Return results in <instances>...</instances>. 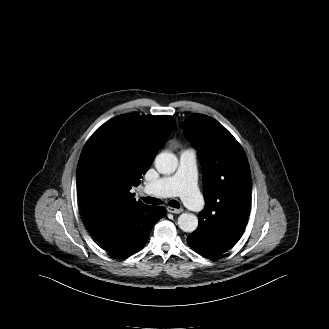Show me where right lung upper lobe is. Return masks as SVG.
Instances as JSON below:
<instances>
[{"mask_svg":"<svg viewBox=\"0 0 329 329\" xmlns=\"http://www.w3.org/2000/svg\"><path fill=\"white\" fill-rule=\"evenodd\" d=\"M174 125L168 115L124 114L93 133L77 167V194L87 224L111 211L148 206L130 189L140 184Z\"/></svg>","mask_w":329,"mask_h":329,"instance_id":"right-lung-upper-lobe-1","label":"right lung upper lobe"}]
</instances>
